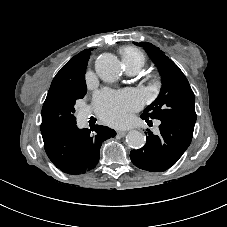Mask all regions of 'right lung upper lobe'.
<instances>
[{
  "label": "right lung upper lobe",
  "instance_id": "1",
  "mask_svg": "<svg viewBox=\"0 0 227 227\" xmlns=\"http://www.w3.org/2000/svg\"><path fill=\"white\" fill-rule=\"evenodd\" d=\"M91 50L92 48L85 49L68 61L56 74L51 85L65 82L79 85L85 82V71Z\"/></svg>",
  "mask_w": 227,
  "mask_h": 227
}]
</instances>
